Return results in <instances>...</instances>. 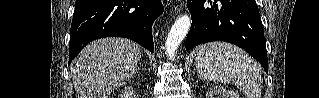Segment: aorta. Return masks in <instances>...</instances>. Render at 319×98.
<instances>
[{"label":"aorta","instance_id":"1","mask_svg":"<svg viewBox=\"0 0 319 98\" xmlns=\"http://www.w3.org/2000/svg\"><path fill=\"white\" fill-rule=\"evenodd\" d=\"M191 26V18L188 14L179 17L171 27L166 39V53L170 59L175 58V52L187 35Z\"/></svg>","mask_w":319,"mask_h":98}]
</instances>
